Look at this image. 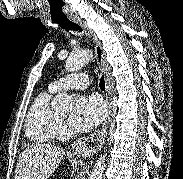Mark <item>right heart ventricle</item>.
Returning a JSON list of instances; mask_svg holds the SVG:
<instances>
[{"label": "right heart ventricle", "instance_id": "obj_1", "mask_svg": "<svg viewBox=\"0 0 183 179\" xmlns=\"http://www.w3.org/2000/svg\"><path fill=\"white\" fill-rule=\"evenodd\" d=\"M54 92L51 88L40 92L30 106L26 133L35 142H50L58 131V114L50 104Z\"/></svg>", "mask_w": 183, "mask_h": 179}]
</instances>
